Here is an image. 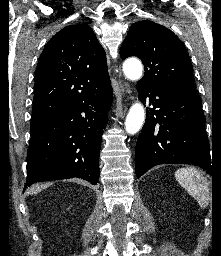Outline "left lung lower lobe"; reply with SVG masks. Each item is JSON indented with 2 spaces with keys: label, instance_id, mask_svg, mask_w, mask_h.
I'll return each mask as SVG.
<instances>
[{
  "label": "left lung lower lobe",
  "instance_id": "1",
  "mask_svg": "<svg viewBox=\"0 0 221 256\" xmlns=\"http://www.w3.org/2000/svg\"><path fill=\"white\" fill-rule=\"evenodd\" d=\"M137 89L139 99L149 97L153 105L136 143L137 178L164 163L193 164L212 172L200 97L139 83Z\"/></svg>",
  "mask_w": 221,
  "mask_h": 256
}]
</instances>
